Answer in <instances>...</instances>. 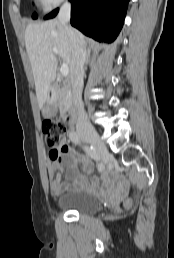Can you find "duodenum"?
I'll list each match as a JSON object with an SVG mask.
<instances>
[{
    "mask_svg": "<svg viewBox=\"0 0 174 258\" xmlns=\"http://www.w3.org/2000/svg\"><path fill=\"white\" fill-rule=\"evenodd\" d=\"M71 91L69 85H59L51 88L50 97L52 102L55 103L63 98L65 95L69 94ZM64 117L67 123L74 124L77 117L76 107L73 104H69L64 111Z\"/></svg>",
    "mask_w": 174,
    "mask_h": 258,
    "instance_id": "410a0bca",
    "label": "duodenum"
}]
</instances>
